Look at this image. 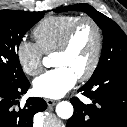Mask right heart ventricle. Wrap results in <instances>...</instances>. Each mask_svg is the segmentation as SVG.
Listing matches in <instances>:
<instances>
[{
    "mask_svg": "<svg viewBox=\"0 0 127 127\" xmlns=\"http://www.w3.org/2000/svg\"><path fill=\"white\" fill-rule=\"evenodd\" d=\"M79 19L77 15H56L42 19L33 30V36L41 52L46 55L53 53L66 32Z\"/></svg>",
    "mask_w": 127,
    "mask_h": 127,
    "instance_id": "1",
    "label": "right heart ventricle"
}]
</instances>
